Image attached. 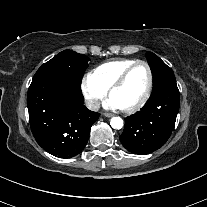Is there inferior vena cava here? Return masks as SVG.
Listing matches in <instances>:
<instances>
[{
	"label": "inferior vena cava",
	"instance_id": "obj_1",
	"mask_svg": "<svg viewBox=\"0 0 207 207\" xmlns=\"http://www.w3.org/2000/svg\"><path fill=\"white\" fill-rule=\"evenodd\" d=\"M86 107L91 111H97L100 107L98 100H88L86 101Z\"/></svg>",
	"mask_w": 207,
	"mask_h": 207
}]
</instances>
